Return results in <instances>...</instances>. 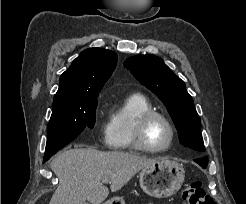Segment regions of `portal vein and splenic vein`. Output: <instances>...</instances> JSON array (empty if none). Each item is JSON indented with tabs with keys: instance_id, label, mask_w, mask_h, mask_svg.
<instances>
[{
	"instance_id": "obj_1",
	"label": "portal vein and splenic vein",
	"mask_w": 246,
	"mask_h": 204,
	"mask_svg": "<svg viewBox=\"0 0 246 204\" xmlns=\"http://www.w3.org/2000/svg\"><path fill=\"white\" fill-rule=\"evenodd\" d=\"M102 182H103V183H110L111 181H110L109 178H104V179L102 180Z\"/></svg>"
}]
</instances>
